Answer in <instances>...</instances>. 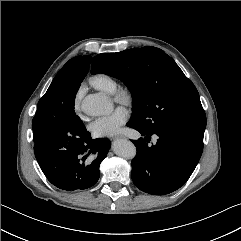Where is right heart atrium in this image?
I'll return each instance as SVG.
<instances>
[{
    "mask_svg": "<svg viewBox=\"0 0 241 241\" xmlns=\"http://www.w3.org/2000/svg\"><path fill=\"white\" fill-rule=\"evenodd\" d=\"M74 109L76 112L80 110V94H77L75 100H74Z\"/></svg>",
    "mask_w": 241,
    "mask_h": 241,
    "instance_id": "right-heart-atrium-1",
    "label": "right heart atrium"
}]
</instances>
